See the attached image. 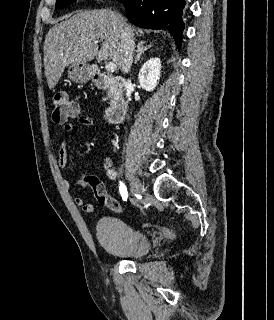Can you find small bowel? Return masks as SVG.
Here are the masks:
<instances>
[{"mask_svg": "<svg viewBox=\"0 0 274 320\" xmlns=\"http://www.w3.org/2000/svg\"><path fill=\"white\" fill-rule=\"evenodd\" d=\"M92 125V120L88 116H79L76 115L74 121L70 122L64 127L66 135L61 139L59 149H58V166L61 170H64L67 167L69 152H68V134L71 133L76 127H89ZM113 161L112 158L107 156L103 160V171L106 174H110L112 171ZM84 176H94V175H84ZM83 178L78 182H72L70 179L65 178L63 180V185L67 190H73L75 188H83L89 186L87 179ZM74 203L77 206L82 207L83 212L90 214L94 211V205L92 203H85L82 196H75Z\"/></svg>", "mask_w": 274, "mask_h": 320, "instance_id": "1", "label": "small bowel"}]
</instances>
